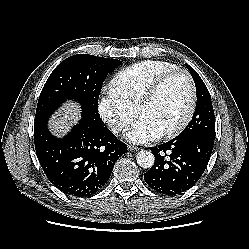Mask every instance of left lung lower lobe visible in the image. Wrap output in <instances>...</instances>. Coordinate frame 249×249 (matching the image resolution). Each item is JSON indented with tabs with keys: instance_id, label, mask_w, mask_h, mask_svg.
<instances>
[{
	"instance_id": "obj_1",
	"label": "left lung lower lobe",
	"mask_w": 249,
	"mask_h": 249,
	"mask_svg": "<svg viewBox=\"0 0 249 249\" xmlns=\"http://www.w3.org/2000/svg\"><path fill=\"white\" fill-rule=\"evenodd\" d=\"M214 140L193 136L151 147L155 156L144 180L155 191L176 195L190 189L202 176L213 150Z\"/></svg>"
}]
</instances>
